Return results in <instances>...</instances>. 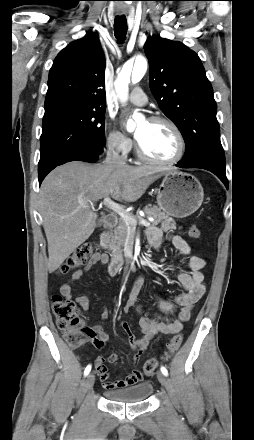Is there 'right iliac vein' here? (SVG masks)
Here are the masks:
<instances>
[{
	"mask_svg": "<svg viewBox=\"0 0 254 440\" xmlns=\"http://www.w3.org/2000/svg\"><path fill=\"white\" fill-rule=\"evenodd\" d=\"M95 382V376L93 373H90L87 375L85 381H84V391L88 392L92 389Z\"/></svg>",
	"mask_w": 254,
	"mask_h": 440,
	"instance_id": "obj_1",
	"label": "right iliac vein"
}]
</instances>
